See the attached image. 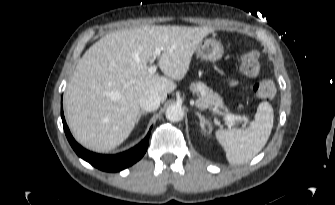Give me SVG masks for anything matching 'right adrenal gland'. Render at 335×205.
Segmentation results:
<instances>
[{"label":"right adrenal gland","instance_id":"2a0ac1e0","mask_svg":"<svg viewBox=\"0 0 335 205\" xmlns=\"http://www.w3.org/2000/svg\"><path fill=\"white\" fill-rule=\"evenodd\" d=\"M144 114L146 115L147 112H146V111H143V110L139 112L138 117H137V120H136V123H138V121L140 120L141 116L144 115Z\"/></svg>","mask_w":335,"mask_h":205}]
</instances>
